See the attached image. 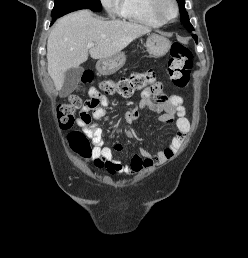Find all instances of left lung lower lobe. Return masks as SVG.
<instances>
[{"label": "left lung lower lobe", "mask_w": 248, "mask_h": 258, "mask_svg": "<svg viewBox=\"0 0 248 258\" xmlns=\"http://www.w3.org/2000/svg\"><path fill=\"white\" fill-rule=\"evenodd\" d=\"M193 38H194L195 41L197 42V36H196V35H193Z\"/></svg>", "instance_id": "0a47b994"}]
</instances>
